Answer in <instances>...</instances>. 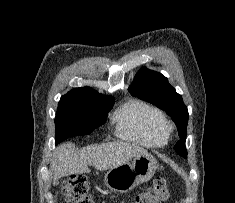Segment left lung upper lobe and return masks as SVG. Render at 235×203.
I'll use <instances>...</instances> for the list:
<instances>
[{
  "instance_id": "obj_1",
  "label": "left lung upper lobe",
  "mask_w": 235,
  "mask_h": 203,
  "mask_svg": "<svg viewBox=\"0 0 235 203\" xmlns=\"http://www.w3.org/2000/svg\"><path fill=\"white\" fill-rule=\"evenodd\" d=\"M129 92L135 97L156 105L170 115L180 137L174 149L182 157L187 158L185 140L189 114L182 97L168 83V79L158 72L142 68L129 87Z\"/></svg>"
}]
</instances>
